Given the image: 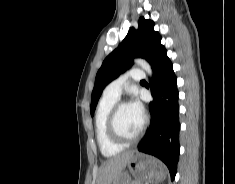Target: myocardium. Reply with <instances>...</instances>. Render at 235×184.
<instances>
[{
    "label": "myocardium",
    "instance_id": "obj_1",
    "mask_svg": "<svg viewBox=\"0 0 235 184\" xmlns=\"http://www.w3.org/2000/svg\"><path fill=\"white\" fill-rule=\"evenodd\" d=\"M129 105L127 102L124 101H120L117 102L113 108L111 109L109 115H108V120H107V129H108V133L110 135V137L116 141L119 144L122 145H129V144H134L137 143L144 135V132L146 130L147 124H148V118L146 116H143V124L142 127L139 131V133L133 137V138H127L125 137L119 127H118V114L119 111L121 110V108H123L124 106Z\"/></svg>",
    "mask_w": 235,
    "mask_h": 184
}]
</instances>
